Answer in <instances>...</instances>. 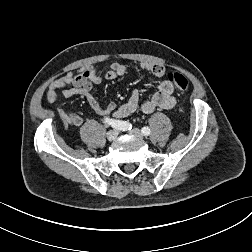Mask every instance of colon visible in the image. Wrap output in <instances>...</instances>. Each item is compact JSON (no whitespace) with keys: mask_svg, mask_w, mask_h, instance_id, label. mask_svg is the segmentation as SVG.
I'll return each mask as SVG.
<instances>
[{"mask_svg":"<svg viewBox=\"0 0 252 252\" xmlns=\"http://www.w3.org/2000/svg\"><path fill=\"white\" fill-rule=\"evenodd\" d=\"M167 79L179 90H186L188 88L189 83L187 78L179 72L168 73ZM130 111H135V109L131 108Z\"/></svg>","mask_w":252,"mask_h":252,"instance_id":"1","label":"colon"}]
</instances>
